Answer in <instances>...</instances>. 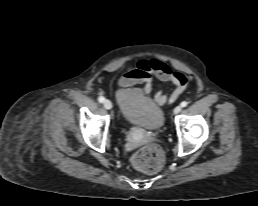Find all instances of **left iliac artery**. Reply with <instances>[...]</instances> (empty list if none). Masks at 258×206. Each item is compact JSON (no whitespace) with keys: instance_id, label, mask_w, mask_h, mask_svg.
Masks as SVG:
<instances>
[{"instance_id":"left-iliac-artery-1","label":"left iliac artery","mask_w":258,"mask_h":206,"mask_svg":"<svg viewBox=\"0 0 258 206\" xmlns=\"http://www.w3.org/2000/svg\"><path fill=\"white\" fill-rule=\"evenodd\" d=\"M188 105V103L186 102V101H183L182 103H181V107H186Z\"/></svg>"}]
</instances>
